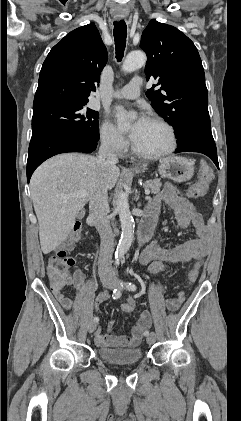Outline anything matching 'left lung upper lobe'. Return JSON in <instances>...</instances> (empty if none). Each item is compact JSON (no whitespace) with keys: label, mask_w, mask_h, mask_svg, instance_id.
Segmentation results:
<instances>
[{"label":"left lung upper lobe","mask_w":241,"mask_h":421,"mask_svg":"<svg viewBox=\"0 0 241 421\" xmlns=\"http://www.w3.org/2000/svg\"><path fill=\"white\" fill-rule=\"evenodd\" d=\"M140 47L147 54V80H158L146 92L155 111L175 129L177 142L210 124L208 91L202 62L193 42L177 28L151 20ZM160 86L159 90H154Z\"/></svg>","instance_id":"1"}]
</instances>
